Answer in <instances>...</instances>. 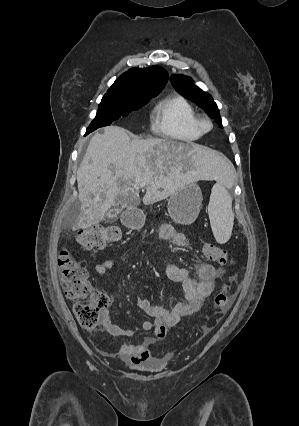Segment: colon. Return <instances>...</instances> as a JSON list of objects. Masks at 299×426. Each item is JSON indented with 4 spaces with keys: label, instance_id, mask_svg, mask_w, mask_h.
<instances>
[{
    "label": "colon",
    "instance_id": "colon-1",
    "mask_svg": "<svg viewBox=\"0 0 299 426\" xmlns=\"http://www.w3.org/2000/svg\"><path fill=\"white\" fill-rule=\"evenodd\" d=\"M122 237L121 230L116 226H96L81 230L77 241L86 250L100 249L107 244L118 242ZM206 258L219 265L228 262V255L223 248L208 243L204 246ZM61 280L66 297L74 301V312L81 327L94 328L99 321V313L107 305V297L94 289L89 282L88 273L82 264L63 250L58 258ZM230 288L226 286L215 297L218 313H224L231 302Z\"/></svg>",
    "mask_w": 299,
    "mask_h": 426
}]
</instances>
